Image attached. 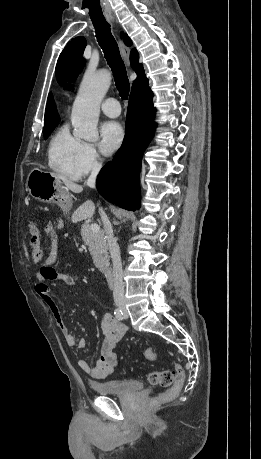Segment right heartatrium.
Segmentation results:
<instances>
[{
    "label": "right heart atrium",
    "instance_id": "d8ad5b80",
    "mask_svg": "<svg viewBox=\"0 0 261 459\" xmlns=\"http://www.w3.org/2000/svg\"><path fill=\"white\" fill-rule=\"evenodd\" d=\"M102 158L94 144L82 142L77 158L80 176L88 175L100 169Z\"/></svg>",
    "mask_w": 261,
    "mask_h": 459
}]
</instances>
